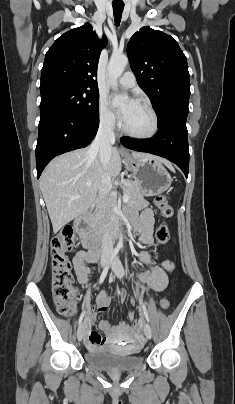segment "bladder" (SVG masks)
<instances>
[{"label": "bladder", "instance_id": "1", "mask_svg": "<svg viewBox=\"0 0 235 404\" xmlns=\"http://www.w3.org/2000/svg\"><path fill=\"white\" fill-rule=\"evenodd\" d=\"M118 347H99L85 353V360L91 366L107 372L132 371L143 363V357L133 354L136 349L120 354Z\"/></svg>", "mask_w": 235, "mask_h": 404}]
</instances>
